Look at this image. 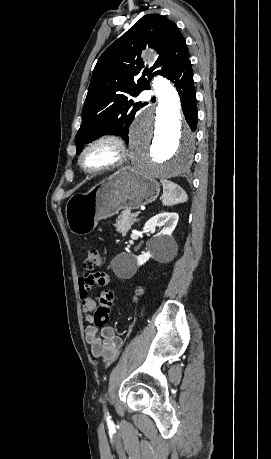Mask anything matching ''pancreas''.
I'll use <instances>...</instances> for the list:
<instances>
[{
	"mask_svg": "<svg viewBox=\"0 0 271 459\" xmlns=\"http://www.w3.org/2000/svg\"><path fill=\"white\" fill-rule=\"evenodd\" d=\"M130 210H124V212H121L120 216H118L116 220V224H114L115 228H117V231L119 233H122V235H126V231H129L131 229V226H133V222H136V217L131 216Z\"/></svg>",
	"mask_w": 271,
	"mask_h": 459,
	"instance_id": "pancreas-1",
	"label": "pancreas"
}]
</instances>
